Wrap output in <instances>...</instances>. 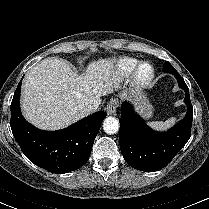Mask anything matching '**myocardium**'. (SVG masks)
Instances as JSON below:
<instances>
[{
  "label": "myocardium",
  "mask_w": 209,
  "mask_h": 209,
  "mask_svg": "<svg viewBox=\"0 0 209 209\" xmlns=\"http://www.w3.org/2000/svg\"><path fill=\"white\" fill-rule=\"evenodd\" d=\"M146 67L149 69L148 73L144 72ZM133 77L138 87H146L150 85L155 78V68L149 62H142L137 66Z\"/></svg>",
  "instance_id": "f54148a6"
}]
</instances>
